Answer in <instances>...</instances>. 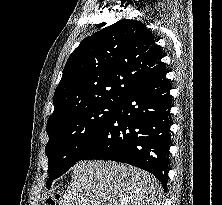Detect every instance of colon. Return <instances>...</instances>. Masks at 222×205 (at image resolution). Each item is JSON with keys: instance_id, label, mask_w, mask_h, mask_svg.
Listing matches in <instances>:
<instances>
[{"instance_id": "obj_1", "label": "colon", "mask_w": 222, "mask_h": 205, "mask_svg": "<svg viewBox=\"0 0 222 205\" xmlns=\"http://www.w3.org/2000/svg\"><path fill=\"white\" fill-rule=\"evenodd\" d=\"M43 205H56V199L49 198L45 201V203Z\"/></svg>"}]
</instances>
